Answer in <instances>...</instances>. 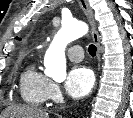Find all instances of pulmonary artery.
Listing matches in <instances>:
<instances>
[{"mask_svg": "<svg viewBox=\"0 0 133 118\" xmlns=\"http://www.w3.org/2000/svg\"><path fill=\"white\" fill-rule=\"evenodd\" d=\"M67 56L73 62L82 61V59H83V49H82V47L78 44L72 45L67 50Z\"/></svg>", "mask_w": 133, "mask_h": 118, "instance_id": "e3ab8cb5", "label": "pulmonary artery"}]
</instances>
